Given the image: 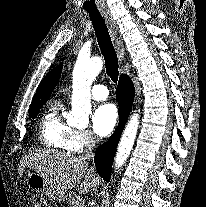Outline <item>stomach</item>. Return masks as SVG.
I'll use <instances>...</instances> for the list:
<instances>
[{
  "mask_svg": "<svg viewBox=\"0 0 206 207\" xmlns=\"http://www.w3.org/2000/svg\"><path fill=\"white\" fill-rule=\"evenodd\" d=\"M26 183L29 188L37 193L44 194L49 198L54 196V190L48 181L37 172H29L26 178Z\"/></svg>",
  "mask_w": 206,
  "mask_h": 207,
  "instance_id": "obj_1",
  "label": "stomach"
}]
</instances>
